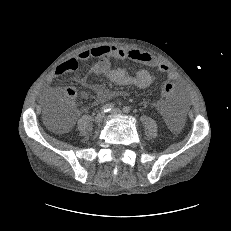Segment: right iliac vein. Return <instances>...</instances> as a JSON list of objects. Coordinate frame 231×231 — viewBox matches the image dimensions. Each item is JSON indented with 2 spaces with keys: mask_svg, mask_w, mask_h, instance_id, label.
<instances>
[{
  "mask_svg": "<svg viewBox=\"0 0 231 231\" xmlns=\"http://www.w3.org/2000/svg\"><path fill=\"white\" fill-rule=\"evenodd\" d=\"M104 113L103 112H100V113H98L96 116H95V122H97V123H100L102 120H103V118H104Z\"/></svg>",
  "mask_w": 231,
  "mask_h": 231,
  "instance_id": "1",
  "label": "right iliac vein"
}]
</instances>
